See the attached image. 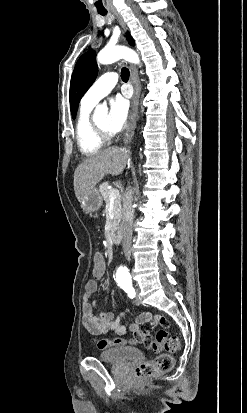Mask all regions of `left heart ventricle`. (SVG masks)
I'll return each instance as SVG.
<instances>
[{
    "label": "left heart ventricle",
    "mask_w": 247,
    "mask_h": 413,
    "mask_svg": "<svg viewBox=\"0 0 247 413\" xmlns=\"http://www.w3.org/2000/svg\"><path fill=\"white\" fill-rule=\"evenodd\" d=\"M104 125V124H103ZM104 130L108 133V130H107V128H104Z\"/></svg>",
    "instance_id": "left-heart-ventricle-1"
}]
</instances>
